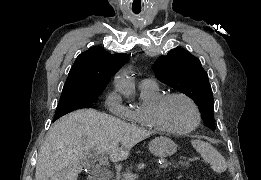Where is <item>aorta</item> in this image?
<instances>
[{"mask_svg": "<svg viewBox=\"0 0 261 180\" xmlns=\"http://www.w3.org/2000/svg\"><path fill=\"white\" fill-rule=\"evenodd\" d=\"M116 88L117 90L126 98H130L134 93V83L129 76V74L124 71L119 74L116 79Z\"/></svg>", "mask_w": 261, "mask_h": 180, "instance_id": "762f6f07", "label": "aorta"}]
</instances>
